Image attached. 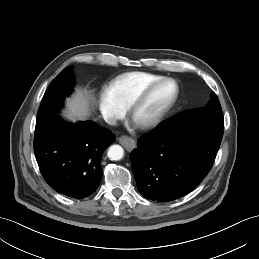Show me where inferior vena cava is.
I'll list each match as a JSON object with an SVG mask.
<instances>
[{
  "label": "inferior vena cava",
  "instance_id": "602c4592",
  "mask_svg": "<svg viewBox=\"0 0 259 259\" xmlns=\"http://www.w3.org/2000/svg\"><path fill=\"white\" fill-rule=\"evenodd\" d=\"M105 121L109 124V125H116V118L113 116H109L105 118Z\"/></svg>",
  "mask_w": 259,
  "mask_h": 259
}]
</instances>
